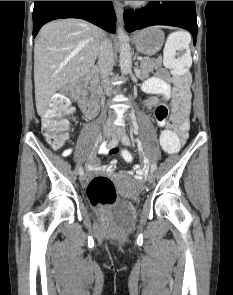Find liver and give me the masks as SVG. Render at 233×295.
Returning a JSON list of instances; mask_svg holds the SVG:
<instances>
[{"label":"liver","mask_w":233,"mask_h":295,"mask_svg":"<svg viewBox=\"0 0 233 295\" xmlns=\"http://www.w3.org/2000/svg\"><path fill=\"white\" fill-rule=\"evenodd\" d=\"M102 37L97 26L75 18L52 21L40 29L34 45V84L41 117L59 89L90 72Z\"/></svg>","instance_id":"obj_1"}]
</instances>
